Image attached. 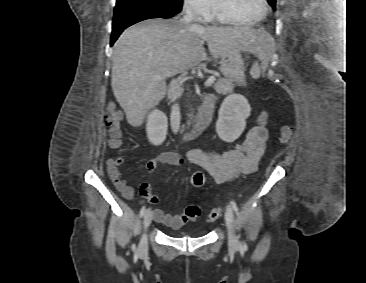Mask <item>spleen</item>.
Segmentation results:
<instances>
[{"label": "spleen", "mask_w": 366, "mask_h": 283, "mask_svg": "<svg viewBox=\"0 0 366 283\" xmlns=\"http://www.w3.org/2000/svg\"><path fill=\"white\" fill-rule=\"evenodd\" d=\"M260 73H261V71H260V67H259L258 63H254V64L252 65L251 70H250V74H251V76H252L254 79H258V78L260 77Z\"/></svg>", "instance_id": "1"}]
</instances>
